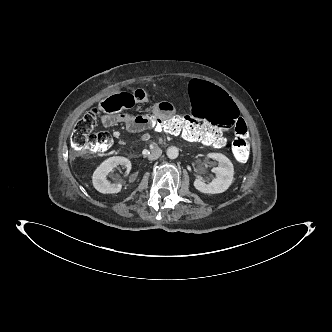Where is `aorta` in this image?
Instances as JSON below:
<instances>
[{"instance_id": "1", "label": "aorta", "mask_w": 332, "mask_h": 332, "mask_svg": "<svg viewBox=\"0 0 332 332\" xmlns=\"http://www.w3.org/2000/svg\"><path fill=\"white\" fill-rule=\"evenodd\" d=\"M179 155V151L177 147H169L167 149V156L169 159H176Z\"/></svg>"}]
</instances>
